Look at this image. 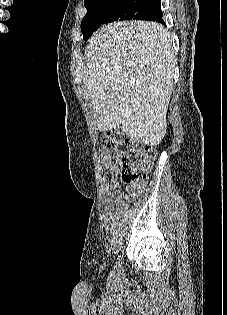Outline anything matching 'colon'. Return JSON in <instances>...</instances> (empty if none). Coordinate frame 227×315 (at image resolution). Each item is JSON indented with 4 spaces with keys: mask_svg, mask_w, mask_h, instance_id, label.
<instances>
[{
    "mask_svg": "<svg viewBox=\"0 0 227 315\" xmlns=\"http://www.w3.org/2000/svg\"><path fill=\"white\" fill-rule=\"evenodd\" d=\"M102 159L99 164V179L110 184L117 175L134 189H140L153 167L156 149L127 138L120 129L107 131L100 139ZM120 147H128L124 153Z\"/></svg>",
    "mask_w": 227,
    "mask_h": 315,
    "instance_id": "1",
    "label": "colon"
}]
</instances>
